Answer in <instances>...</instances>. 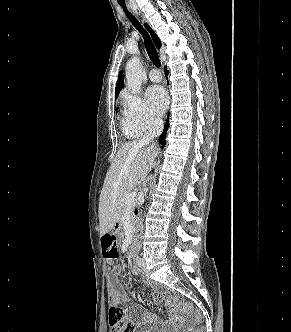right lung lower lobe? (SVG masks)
<instances>
[{
    "label": "right lung lower lobe",
    "instance_id": "1",
    "mask_svg": "<svg viewBox=\"0 0 291 332\" xmlns=\"http://www.w3.org/2000/svg\"><path fill=\"white\" fill-rule=\"evenodd\" d=\"M165 74H166V76H167V74H168L167 68H165ZM168 126H169V119L167 118V120H166V124H165V126H164L163 133H162L161 136L159 137V142H160V144H161L163 147L165 146V136H166V132H167Z\"/></svg>",
    "mask_w": 291,
    "mask_h": 332
}]
</instances>
